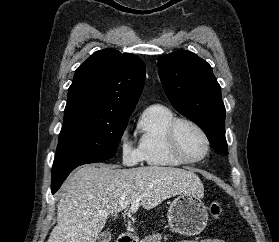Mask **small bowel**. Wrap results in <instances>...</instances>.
Here are the masks:
<instances>
[{
	"mask_svg": "<svg viewBox=\"0 0 279 242\" xmlns=\"http://www.w3.org/2000/svg\"><path fill=\"white\" fill-rule=\"evenodd\" d=\"M180 242H225L221 239H216V238H208V239H203L199 241H180Z\"/></svg>",
	"mask_w": 279,
	"mask_h": 242,
	"instance_id": "obj_1",
	"label": "small bowel"
}]
</instances>
